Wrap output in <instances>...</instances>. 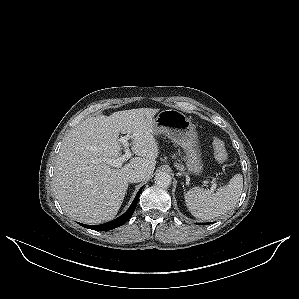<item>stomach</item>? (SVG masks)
<instances>
[{"mask_svg": "<svg viewBox=\"0 0 299 299\" xmlns=\"http://www.w3.org/2000/svg\"><path fill=\"white\" fill-rule=\"evenodd\" d=\"M154 135L163 134L181 146L185 152L186 168L199 175L203 171L201 149L195 125L182 112L165 109L153 119Z\"/></svg>", "mask_w": 299, "mask_h": 299, "instance_id": "obj_1", "label": "stomach"}]
</instances>
